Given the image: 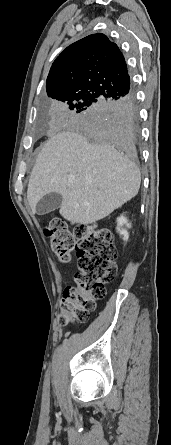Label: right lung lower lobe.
Instances as JSON below:
<instances>
[{
	"instance_id": "1",
	"label": "right lung lower lobe",
	"mask_w": 171,
	"mask_h": 445,
	"mask_svg": "<svg viewBox=\"0 0 171 445\" xmlns=\"http://www.w3.org/2000/svg\"><path fill=\"white\" fill-rule=\"evenodd\" d=\"M95 114L94 126L98 139L113 144L131 156L136 155L137 137L133 94L123 99H105Z\"/></svg>"
}]
</instances>
